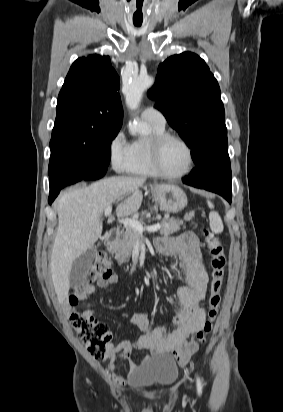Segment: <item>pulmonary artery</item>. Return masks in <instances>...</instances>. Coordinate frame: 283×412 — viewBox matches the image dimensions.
Instances as JSON below:
<instances>
[{"mask_svg":"<svg viewBox=\"0 0 283 412\" xmlns=\"http://www.w3.org/2000/svg\"><path fill=\"white\" fill-rule=\"evenodd\" d=\"M146 122H150L159 126H165L166 118L163 113L155 107H146L141 114Z\"/></svg>","mask_w":283,"mask_h":412,"instance_id":"e3ab8cb5","label":"pulmonary artery"}]
</instances>
